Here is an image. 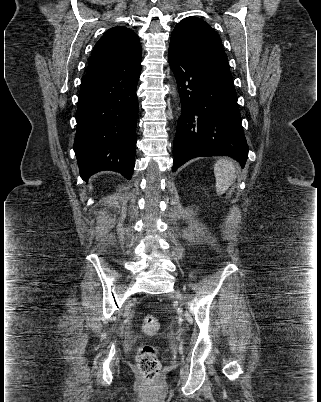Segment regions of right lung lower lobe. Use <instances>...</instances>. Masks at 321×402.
Instances as JSON below:
<instances>
[{
  "instance_id": "right-lung-lower-lobe-1",
  "label": "right lung lower lobe",
  "mask_w": 321,
  "mask_h": 402,
  "mask_svg": "<svg viewBox=\"0 0 321 402\" xmlns=\"http://www.w3.org/2000/svg\"><path fill=\"white\" fill-rule=\"evenodd\" d=\"M141 67L83 76L76 112L74 151L80 176L103 170L130 179L134 170Z\"/></svg>"
}]
</instances>
